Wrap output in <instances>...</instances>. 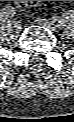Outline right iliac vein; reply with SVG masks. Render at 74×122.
Returning a JSON list of instances; mask_svg holds the SVG:
<instances>
[{
  "mask_svg": "<svg viewBox=\"0 0 74 122\" xmlns=\"http://www.w3.org/2000/svg\"><path fill=\"white\" fill-rule=\"evenodd\" d=\"M13 28L16 32L20 31L21 29V23L18 20H15L12 22Z\"/></svg>",
  "mask_w": 74,
  "mask_h": 122,
  "instance_id": "obj_1",
  "label": "right iliac vein"
}]
</instances>
